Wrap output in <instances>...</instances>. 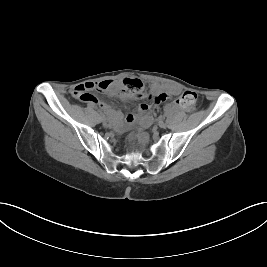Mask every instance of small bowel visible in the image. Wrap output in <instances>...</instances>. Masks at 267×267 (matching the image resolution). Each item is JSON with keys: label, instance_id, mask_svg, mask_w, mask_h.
<instances>
[{"label": "small bowel", "instance_id": "1", "mask_svg": "<svg viewBox=\"0 0 267 267\" xmlns=\"http://www.w3.org/2000/svg\"><path fill=\"white\" fill-rule=\"evenodd\" d=\"M87 84L95 85L96 83L95 82H87ZM81 85H83V84H81ZM81 85H78V86L72 88L71 95L73 97H75L74 92H75L76 88H78ZM149 89L151 92L155 93L156 95L161 94L162 92H166L169 95H177L180 92V89L177 86H173V85L161 86L160 84H157V83L151 84ZM120 96L122 98L127 97L125 94H120ZM85 102L92 103V104L98 106L100 109H102L106 113H111L113 111L109 105H107L106 103L99 101L95 98L88 100V101H85ZM156 106H157L156 103L153 106H150L146 103H141L138 106V110L141 113H146V112L152 110L153 108H156ZM167 110L170 112H176L179 110V108H178L177 104H171L168 106ZM125 119L127 122H132L135 119V117L133 114L129 113L126 115Z\"/></svg>", "mask_w": 267, "mask_h": 267}]
</instances>
